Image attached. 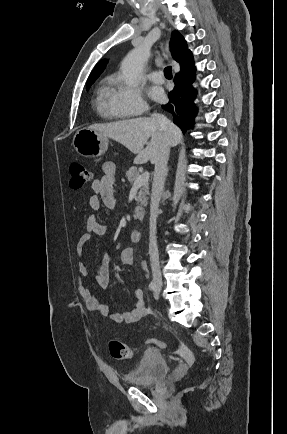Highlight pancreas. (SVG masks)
Wrapping results in <instances>:
<instances>
[{
  "label": "pancreas",
  "instance_id": "obj_1",
  "mask_svg": "<svg viewBox=\"0 0 287 434\" xmlns=\"http://www.w3.org/2000/svg\"><path fill=\"white\" fill-rule=\"evenodd\" d=\"M140 176L137 167H131L125 173V177L131 184H134L135 180ZM149 184L145 183L139 189L137 195V206L134 210V218L142 220L144 217V207L148 204Z\"/></svg>",
  "mask_w": 287,
  "mask_h": 434
}]
</instances>
